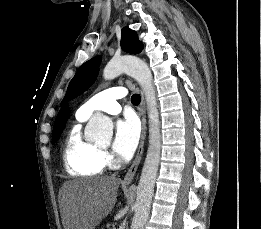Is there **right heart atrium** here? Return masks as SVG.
Masks as SVG:
<instances>
[{"label":"right heart atrium","mask_w":261,"mask_h":229,"mask_svg":"<svg viewBox=\"0 0 261 229\" xmlns=\"http://www.w3.org/2000/svg\"><path fill=\"white\" fill-rule=\"evenodd\" d=\"M102 162L103 165L108 168H115L117 165V160L115 157L105 149L102 150Z\"/></svg>","instance_id":"1"}]
</instances>
